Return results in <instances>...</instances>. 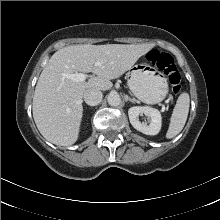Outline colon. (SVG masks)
<instances>
[{
	"label": "colon",
	"mask_w": 220,
	"mask_h": 220,
	"mask_svg": "<svg viewBox=\"0 0 220 220\" xmlns=\"http://www.w3.org/2000/svg\"><path fill=\"white\" fill-rule=\"evenodd\" d=\"M147 60L164 72L172 92L178 94L181 90V76L173 57L166 52L154 49L147 54Z\"/></svg>",
	"instance_id": "obj_1"
}]
</instances>
